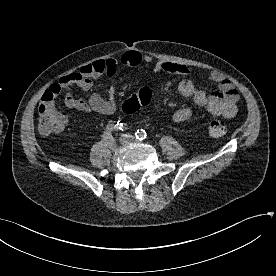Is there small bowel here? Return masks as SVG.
Returning a JSON list of instances; mask_svg holds the SVG:
<instances>
[{
	"label": "small bowel",
	"instance_id": "small-bowel-1",
	"mask_svg": "<svg viewBox=\"0 0 276 276\" xmlns=\"http://www.w3.org/2000/svg\"><path fill=\"white\" fill-rule=\"evenodd\" d=\"M153 58L150 55H143L137 51H127L119 59L107 58L93 61L80 68L78 72L71 73L62 77L58 83L61 91H64L65 104L67 107L84 113L96 112L102 115H110L117 109L116 90L112 86L108 90V96L103 98L96 92L89 95L87 100L77 97L73 94V87L82 90H90L93 87V81L103 75L113 77L120 66L136 67L140 64L150 65ZM154 73L166 72L170 74L187 76L189 69L187 66L172 62L157 61L153 65ZM209 79L217 87L216 90L206 92L198 89L189 79H183L179 82L178 90L184 97H190L196 106L204 107L209 113L216 116L232 118L237 113L238 92L232 83L221 74L213 72ZM50 90L46 91L41 102L49 96ZM194 113L193 107L185 106L177 109L173 114V120L176 123L188 121Z\"/></svg>",
	"mask_w": 276,
	"mask_h": 276
}]
</instances>
